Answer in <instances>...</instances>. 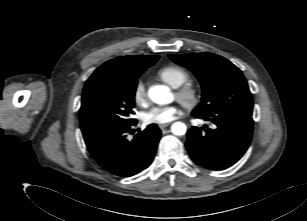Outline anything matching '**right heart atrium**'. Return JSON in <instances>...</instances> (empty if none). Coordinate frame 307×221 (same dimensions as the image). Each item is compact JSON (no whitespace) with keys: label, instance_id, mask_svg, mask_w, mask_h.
I'll return each instance as SVG.
<instances>
[{"label":"right heart atrium","instance_id":"1","mask_svg":"<svg viewBox=\"0 0 307 221\" xmlns=\"http://www.w3.org/2000/svg\"><path fill=\"white\" fill-rule=\"evenodd\" d=\"M133 101L138 106H145L148 103V94L145 84L142 81L136 82L132 93Z\"/></svg>","mask_w":307,"mask_h":221}]
</instances>
